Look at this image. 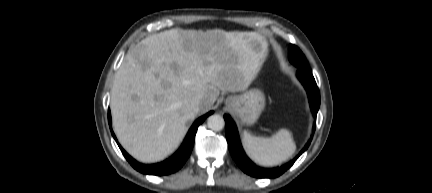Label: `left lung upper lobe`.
Wrapping results in <instances>:
<instances>
[{"label": "left lung upper lobe", "instance_id": "5c2ea615", "mask_svg": "<svg viewBox=\"0 0 432 193\" xmlns=\"http://www.w3.org/2000/svg\"><path fill=\"white\" fill-rule=\"evenodd\" d=\"M289 61L298 68L310 69L304 54L292 44L289 46Z\"/></svg>", "mask_w": 432, "mask_h": 193}]
</instances>
